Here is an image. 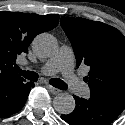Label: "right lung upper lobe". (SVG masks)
<instances>
[{"instance_id":"cb5924a9","label":"right lung upper lobe","mask_w":125,"mask_h":125,"mask_svg":"<svg viewBox=\"0 0 125 125\" xmlns=\"http://www.w3.org/2000/svg\"><path fill=\"white\" fill-rule=\"evenodd\" d=\"M59 15L0 12V84L22 79L14 72L16 56L28 52L33 38L57 26Z\"/></svg>"}]
</instances>
